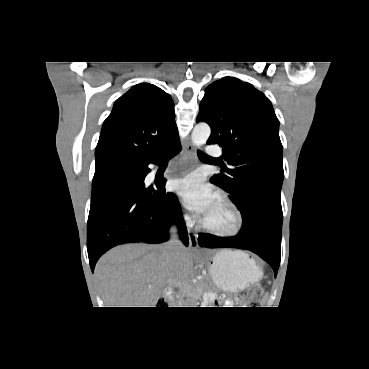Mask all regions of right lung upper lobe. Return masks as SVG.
Here are the masks:
<instances>
[{"mask_svg": "<svg viewBox=\"0 0 369 369\" xmlns=\"http://www.w3.org/2000/svg\"><path fill=\"white\" fill-rule=\"evenodd\" d=\"M177 140L171 97L155 85L140 83L115 101L104 121L96 164L147 159Z\"/></svg>", "mask_w": 369, "mask_h": 369, "instance_id": "right-lung-upper-lobe-1", "label": "right lung upper lobe"}]
</instances>
